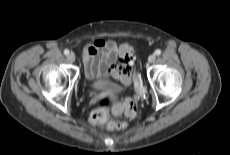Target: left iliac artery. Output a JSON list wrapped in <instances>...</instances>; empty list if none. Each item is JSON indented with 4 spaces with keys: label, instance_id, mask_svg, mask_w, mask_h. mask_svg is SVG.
Here are the masks:
<instances>
[{
    "label": "left iliac artery",
    "instance_id": "left-iliac-artery-1",
    "mask_svg": "<svg viewBox=\"0 0 230 155\" xmlns=\"http://www.w3.org/2000/svg\"><path fill=\"white\" fill-rule=\"evenodd\" d=\"M155 54H156V55H160V54H161V50H160V49H157V50L155 51Z\"/></svg>",
    "mask_w": 230,
    "mask_h": 155
}]
</instances>
